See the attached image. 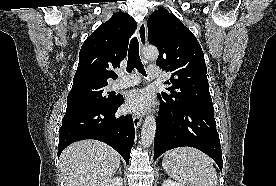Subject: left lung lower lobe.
Wrapping results in <instances>:
<instances>
[{
  "instance_id": "1",
  "label": "left lung lower lobe",
  "mask_w": 276,
  "mask_h": 186,
  "mask_svg": "<svg viewBox=\"0 0 276 186\" xmlns=\"http://www.w3.org/2000/svg\"><path fill=\"white\" fill-rule=\"evenodd\" d=\"M161 102L154 139V160L164 152L183 146L194 147L210 156L222 171L223 161L213 106L171 107Z\"/></svg>"
}]
</instances>
